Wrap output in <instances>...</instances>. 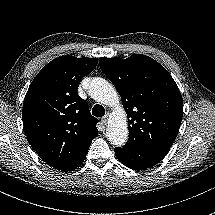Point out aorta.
Wrapping results in <instances>:
<instances>
[{
  "instance_id": "obj_1",
  "label": "aorta",
  "mask_w": 215,
  "mask_h": 215,
  "mask_svg": "<svg viewBox=\"0 0 215 215\" xmlns=\"http://www.w3.org/2000/svg\"><path fill=\"white\" fill-rule=\"evenodd\" d=\"M90 96L101 104L111 105L116 116L108 124L107 139L114 146H122L128 140L127 113L116 88L102 78H95L90 86Z\"/></svg>"
}]
</instances>
